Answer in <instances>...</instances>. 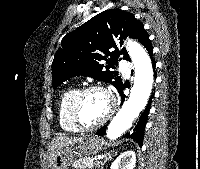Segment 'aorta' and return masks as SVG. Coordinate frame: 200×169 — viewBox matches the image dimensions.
Listing matches in <instances>:
<instances>
[{
    "instance_id": "aorta-1",
    "label": "aorta",
    "mask_w": 200,
    "mask_h": 169,
    "mask_svg": "<svg viewBox=\"0 0 200 169\" xmlns=\"http://www.w3.org/2000/svg\"><path fill=\"white\" fill-rule=\"evenodd\" d=\"M126 48L135 68L134 85L128 100L124 102L107 128L106 136L110 140L119 138L131 128L135 118L145 108L152 91L153 68L147 51L132 40L127 42Z\"/></svg>"
}]
</instances>
